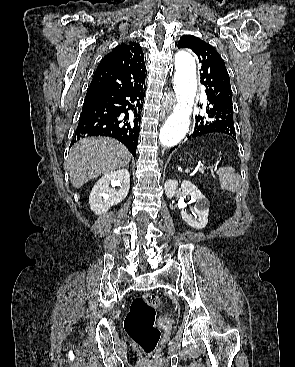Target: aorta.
Instances as JSON below:
<instances>
[{
  "label": "aorta",
  "instance_id": "762f6f07",
  "mask_svg": "<svg viewBox=\"0 0 295 367\" xmlns=\"http://www.w3.org/2000/svg\"><path fill=\"white\" fill-rule=\"evenodd\" d=\"M177 104L173 113L160 129L162 145L172 147L181 142L189 131L192 106L197 91V72L194 58L180 51L175 56V75L173 79Z\"/></svg>",
  "mask_w": 295,
  "mask_h": 367
}]
</instances>
